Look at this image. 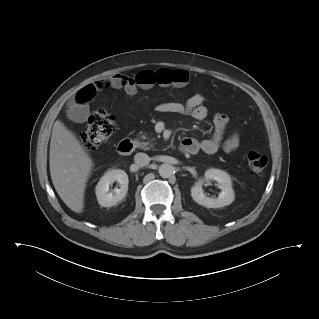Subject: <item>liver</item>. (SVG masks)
<instances>
[{
    "instance_id": "6515ba94",
    "label": "liver",
    "mask_w": 319,
    "mask_h": 319,
    "mask_svg": "<svg viewBox=\"0 0 319 319\" xmlns=\"http://www.w3.org/2000/svg\"><path fill=\"white\" fill-rule=\"evenodd\" d=\"M49 162L58 195L72 211L81 213L93 162L75 134L59 120L52 130Z\"/></svg>"
}]
</instances>
